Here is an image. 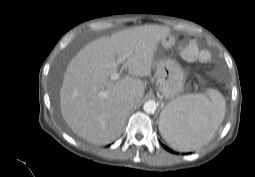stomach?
<instances>
[{
    "mask_svg": "<svg viewBox=\"0 0 255 177\" xmlns=\"http://www.w3.org/2000/svg\"><path fill=\"white\" fill-rule=\"evenodd\" d=\"M173 40L172 35L165 36L162 41ZM156 83L159 91L168 100H176L184 91L185 73L179 63L170 58H158L155 61Z\"/></svg>",
    "mask_w": 255,
    "mask_h": 177,
    "instance_id": "0dacf381",
    "label": "stomach"
}]
</instances>
